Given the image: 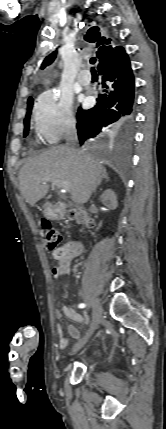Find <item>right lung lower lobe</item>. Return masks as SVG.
Returning <instances> with one entry per match:
<instances>
[{"label":"right lung lower lobe","mask_w":166,"mask_h":429,"mask_svg":"<svg viewBox=\"0 0 166 429\" xmlns=\"http://www.w3.org/2000/svg\"><path fill=\"white\" fill-rule=\"evenodd\" d=\"M98 72L102 90L97 105L89 110L79 108L77 112L80 144L103 133L127 135L133 123L135 82L125 50L121 56L101 60Z\"/></svg>","instance_id":"1"}]
</instances>
